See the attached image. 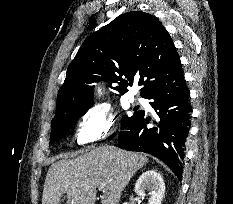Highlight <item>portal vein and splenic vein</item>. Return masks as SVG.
Wrapping results in <instances>:
<instances>
[{"label":"portal vein and splenic vein","mask_w":233,"mask_h":204,"mask_svg":"<svg viewBox=\"0 0 233 204\" xmlns=\"http://www.w3.org/2000/svg\"><path fill=\"white\" fill-rule=\"evenodd\" d=\"M98 189H99V190H102V189H103V186H99Z\"/></svg>","instance_id":"1"}]
</instances>
